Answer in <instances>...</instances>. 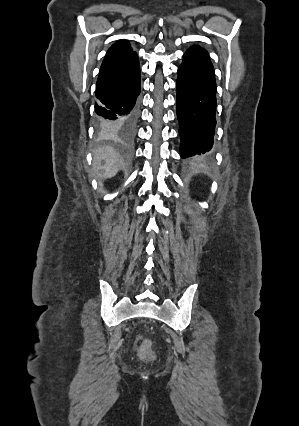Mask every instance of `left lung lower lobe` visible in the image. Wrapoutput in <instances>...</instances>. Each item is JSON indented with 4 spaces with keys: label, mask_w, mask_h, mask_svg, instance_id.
Masks as SVG:
<instances>
[{
    "label": "left lung lower lobe",
    "mask_w": 299,
    "mask_h": 426,
    "mask_svg": "<svg viewBox=\"0 0 299 426\" xmlns=\"http://www.w3.org/2000/svg\"><path fill=\"white\" fill-rule=\"evenodd\" d=\"M176 100L181 157L209 154L216 125V82L206 50L185 52L178 68Z\"/></svg>",
    "instance_id": "left-lung-lower-lobe-1"
}]
</instances>
